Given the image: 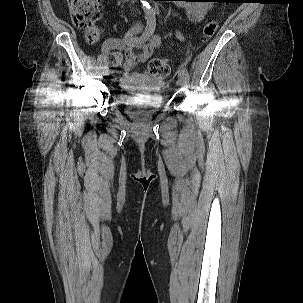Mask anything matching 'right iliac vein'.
Here are the masks:
<instances>
[{
  "instance_id": "obj_1",
  "label": "right iliac vein",
  "mask_w": 303,
  "mask_h": 303,
  "mask_svg": "<svg viewBox=\"0 0 303 303\" xmlns=\"http://www.w3.org/2000/svg\"><path fill=\"white\" fill-rule=\"evenodd\" d=\"M117 79V74H112L111 75V80H116Z\"/></svg>"
}]
</instances>
